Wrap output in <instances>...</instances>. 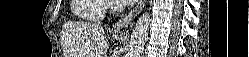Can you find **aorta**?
<instances>
[{
    "label": "aorta",
    "instance_id": "1",
    "mask_svg": "<svg viewBox=\"0 0 249 57\" xmlns=\"http://www.w3.org/2000/svg\"><path fill=\"white\" fill-rule=\"evenodd\" d=\"M150 25V14L143 13L137 20L129 43L128 57H141L144 45L148 39V31Z\"/></svg>",
    "mask_w": 249,
    "mask_h": 57
}]
</instances>
